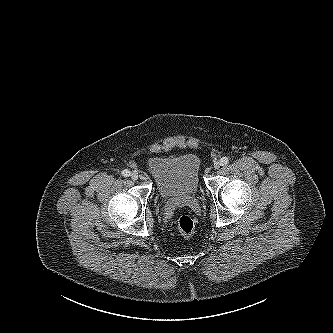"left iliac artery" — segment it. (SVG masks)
<instances>
[{
  "mask_svg": "<svg viewBox=\"0 0 333 333\" xmlns=\"http://www.w3.org/2000/svg\"><path fill=\"white\" fill-rule=\"evenodd\" d=\"M221 165H227L229 163V158L228 157H223L220 160Z\"/></svg>",
  "mask_w": 333,
  "mask_h": 333,
  "instance_id": "obj_1",
  "label": "left iliac artery"
}]
</instances>
